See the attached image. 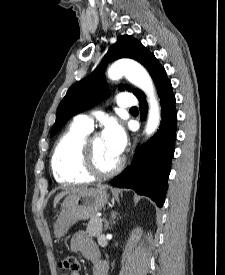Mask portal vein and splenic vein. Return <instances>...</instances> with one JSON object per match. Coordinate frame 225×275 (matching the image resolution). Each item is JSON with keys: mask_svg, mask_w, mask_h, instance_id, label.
Returning a JSON list of instances; mask_svg holds the SVG:
<instances>
[{"mask_svg": "<svg viewBox=\"0 0 225 275\" xmlns=\"http://www.w3.org/2000/svg\"><path fill=\"white\" fill-rule=\"evenodd\" d=\"M99 221L102 222V219L100 218Z\"/></svg>", "mask_w": 225, "mask_h": 275, "instance_id": "portal-vein-and-splenic-vein-1", "label": "portal vein and splenic vein"}]
</instances>
